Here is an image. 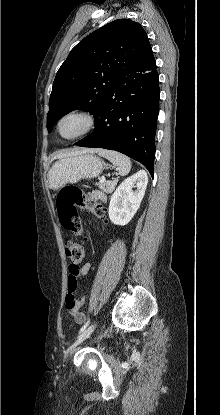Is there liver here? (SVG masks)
<instances>
[{
    "label": "liver",
    "instance_id": "obj_1",
    "mask_svg": "<svg viewBox=\"0 0 220 415\" xmlns=\"http://www.w3.org/2000/svg\"><path fill=\"white\" fill-rule=\"evenodd\" d=\"M74 154H76V153H70V154H63V155H61L62 157L64 156H71V155H74Z\"/></svg>",
    "mask_w": 220,
    "mask_h": 415
}]
</instances>
